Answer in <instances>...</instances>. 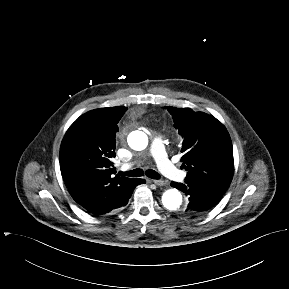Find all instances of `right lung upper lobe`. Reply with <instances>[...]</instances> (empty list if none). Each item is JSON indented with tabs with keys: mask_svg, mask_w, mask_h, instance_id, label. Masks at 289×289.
Wrapping results in <instances>:
<instances>
[{
	"mask_svg": "<svg viewBox=\"0 0 289 289\" xmlns=\"http://www.w3.org/2000/svg\"><path fill=\"white\" fill-rule=\"evenodd\" d=\"M126 107L100 108L81 115L60 147V168L73 199L94 215L108 214L128 203L138 179L116 174L117 123Z\"/></svg>",
	"mask_w": 289,
	"mask_h": 289,
	"instance_id": "right-lung-upper-lobe-1",
	"label": "right lung upper lobe"
}]
</instances>
